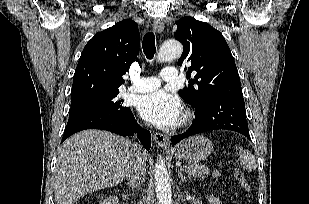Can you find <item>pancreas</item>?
Here are the masks:
<instances>
[{"label": "pancreas", "instance_id": "cf45deb5", "mask_svg": "<svg viewBox=\"0 0 309 204\" xmlns=\"http://www.w3.org/2000/svg\"><path fill=\"white\" fill-rule=\"evenodd\" d=\"M186 170L190 176L204 179L210 173L209 169L205 165H199L196 163H189L186 166Z\"/></svg>", "mask_w": 309, "mask_h": 204}]
</instances>
